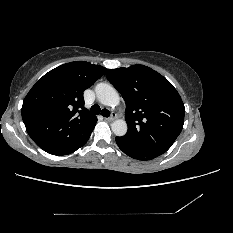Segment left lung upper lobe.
<instances>
[{
  "label": "left lung upper lobe",
  "instance_id": "5c2ea615",
  "mask_svg": "<svg viewBox=\"0 0 233 233\" xmlns=\"http://www.w3.org/2000/svg\"><path fill=\"white\" fill-rule=\"evenodd\" d=\"M106 75L126 103L128 131L123 138L141 149L165 153L184 124L185 107L174 86L144 65L107 69Z\"/></svg>",
  "mask_w": 233,
  "mask_h": 233
}]
</instances>
